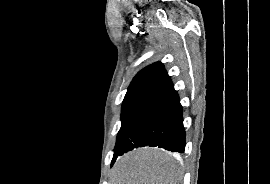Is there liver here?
Here are the masks:
<instances>
[{"label": "liver", "mask_w": 270, "mask_h": 184, "mask_svg": "<svg viewBox=\"0 0 270 184\" xmlns=\"http://www.w3.org/2000/svg\"><path fill=\"white\" fill-rule=\"evenodd\" d=\"M170 158L157 148H138L117 160L110 184H177L182 178Z\"/></svg>", "instance_id": "6515ba94"}]
</instances>
